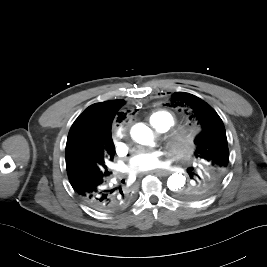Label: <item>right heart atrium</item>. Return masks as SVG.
Masks as SVG:
<instances>
[{"instance_id": "obj_1", "label": "right heart atrium", "mask_w": 267, "mask_h": 267, "mask_svg": "<svg viewBox=\"0 0 267 267\" xmlns=\"http://www.w3.org/2000/svg\"><path fill=\"white\" fill-rule=\"evenodd\" d=\"M121 130H122V131H124V130H125V128H121Z\"/></svg>"}]
</instances>
